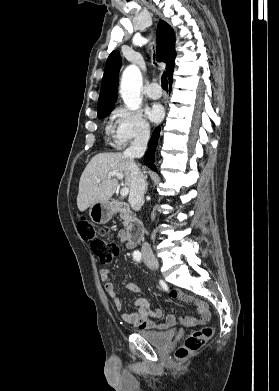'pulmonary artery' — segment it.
<instances>
[{"mask_svg": "<svg viewBox=\"0 0 279 391\" xmlns=\"http://www.w3.org/2000/svg\"><path fill=\"white\" fill-rule=\"evenodd\" d=\"M146 94L152 99H158L162 96V91L156 82H152L146 89Z\"/></svg>", "mask_w": 279, "mask_h": 391, "instance_id": "obj_1", "label": "pulmonary artery"}]
</instances>
